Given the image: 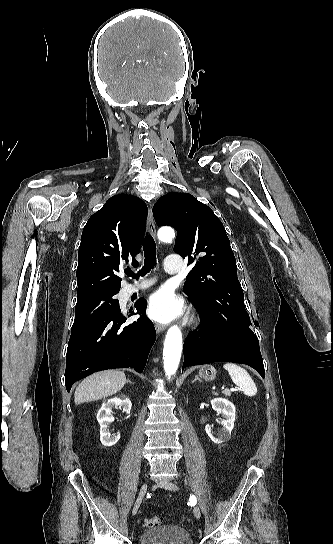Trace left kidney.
<instances>
[{"label": "left kidney", "instance_id": "5707ae66", "mask_svg": "<svg viewBox=\"0 0 333 544\" xmlns=\"http://www.w3.org/2000/svg\"><path fill=\"white\" fill-rule=\"evenodd\" d=\"M211 404L213 409L222 416L221 423L223 428L217 435L214 434L212 427L209 424L206 425L205 430L214 443L221 444L231 438V431L234 428L236 409L233 403L224 398H215L211 400Z\"/></svg>", "mask_w": 333, "mask_h": 544}]
</instances>
